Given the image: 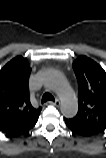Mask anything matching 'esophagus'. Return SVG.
Segmentation results:
<instances>
[{
  "label": "esophagus",
  "instance_id": "34e87169",
  "mask_svg": "<svg viewBox=\"0 0 106 158\" xmlns=\"http://www.w3.org/2000/svg\"><path fill=\"white\" fill-rule=\"evenodd\" d=\"M47 103L50 104V105H55V106L60 105V101L58 99H56L54 102L53 101H48Z\"/></svg>",
  "mask_w": 106,
  "mask_h": 158
}]
</instances>
